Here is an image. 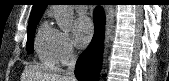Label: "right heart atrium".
Returning <instances> with one entry per match:
<instances>
[{
	"instance_id": "right-heart-atrium-1",
	"label": "right heart atrium",
	"mask_w": 169,
	"mask_h": 81,
	"mask_svg": "<svg viewBox=\"0 0 169 81\" xmlns=\"http://www.w3.org/2000/svg\"><path fill=\"white\" fill-rule=\"evenodd\" d=\"M55 54L57 61L64 63L71 59L75 54V46L69 34L65 32L56 33Z\"/></svg>"
}]
</instances>
